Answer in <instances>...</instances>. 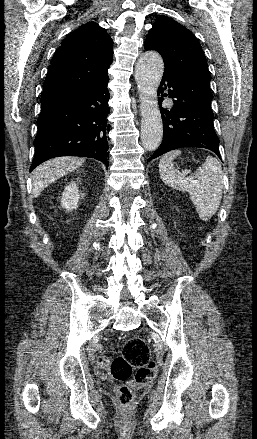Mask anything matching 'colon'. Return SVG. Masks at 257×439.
<instances>
[{
	"label": "colon",
	"mask_w": 257,
	"mask_h": 439,
	"mask_svg": "<svg viewBox=\"0 0 257 439\" xmlns=\"http://www.w3.org/2000/svg\"><path fill=\"white\" fill-rule=\"evenodd\" d=\"M99 365H104L102 357L97 358ZM110 375L118 382H126L115 387L118 403L124 407L133 404L134 390L150 383L156 374V366L151 359L148 345L139 337L129 338L122 352L110 364Z\"/></svg>",
	"instance_id": "obj_1"
}]
</instances>
